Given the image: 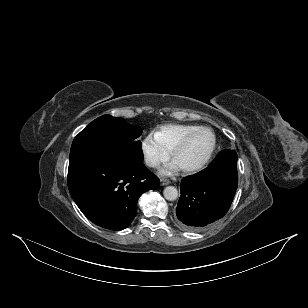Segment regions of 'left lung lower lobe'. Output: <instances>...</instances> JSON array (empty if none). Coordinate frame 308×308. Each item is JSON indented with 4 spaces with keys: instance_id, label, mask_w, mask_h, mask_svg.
<instances>
[{
    "instance_id": "obj_1",
    "label": "left lung lower lobe",
    "mask_w": 308,
    "mask_h": 308,
    "mask_svg": "<svg viewBox=\"0 0 308 308\" xmlns=\"http://www.w3.org/2000/svg\"><path fill=\"white\" fill-rule=\"evenodd\" d=\"M237 185V153L223 150L208 168L182 180L177 222L187 230L197 231L222 218L231 206Z\"/></svg>"
}]
</instances>
